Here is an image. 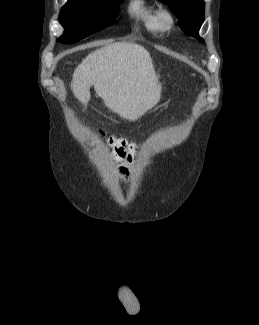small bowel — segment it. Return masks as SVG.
Masks as SVG:
<instances>
[{"label":"small bowel","instance_id":"c3829d8e","mask_svg":"<svg viewBox=\"0 0 259 325\" xmlns=\"http://www.w3.org/2000/svg\"><path fill=\"white\" fill-rule=\"evenodd\" d=\"M131 164L132 162H127L125 163H120L117 170H118V175L120 176L121 179L123 180H128L130 177V172H131Z\"/></svg>","mask_w":259,"mask_h":325}]
</instances>
